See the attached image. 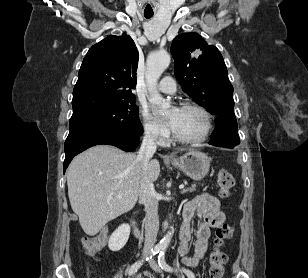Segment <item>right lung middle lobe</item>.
<instances>
[{
	"label": "right lung middle lobe",
	"instance_id": "obj_1",
	"mask_svg": "<svg viewBox=\"0 0 308 278\" xmlns=\"http://www.w3.org/2000/svg\"><path fill=\"white\" fill-rule=\"evenodd\" d=\"M83 130H115L142 134L138 107L133 103H121L73 115L70 118L69 133Z\"/></svg>",
	"mask_w": 308,
	"mask_h": 278
}]
</instances>
